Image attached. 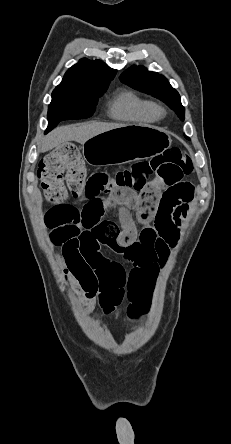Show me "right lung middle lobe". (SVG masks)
<instances>
[{
  "mask_svg": "<svg viewBox=\"0 0 231 444\" xmlns=\"http://www.w3.org/2000/svg\"><path fill=\"white\" fill-rule=\"evenodd\" d=\"M106 89L99 91L79 92L72 90H54L48 108V128L52 130L62 120H75L90 117L95 109L98 97Z\"/></svg>",
  "mask_w": 231,
  "mask_h": 444,
  "instance_id": "1",
  "label": "right lung middle lobe"
}]
</instances>
